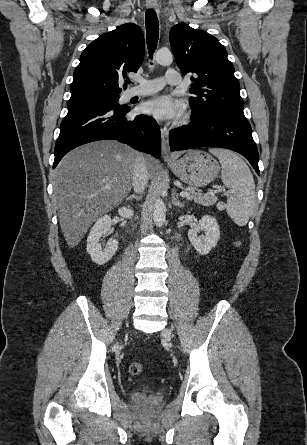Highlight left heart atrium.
<instances>
[{"instance_id":"1","label":"left heart atrium","mask_w":307,"mask_h":445,"mask_svg":"<svg viewBox=\"0 0 307 445\" xmlns=\"http://www.w3.org/2000/svg\"><path fill=\"white\" fill-rule=\"evenodd\" d=\"M182 107L181 102L173 100L167 94H161L150 98L144 104L143 111L158 119L165 120L180 115Z\"/></svg>"}]
</instances>
